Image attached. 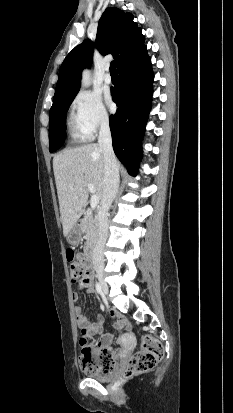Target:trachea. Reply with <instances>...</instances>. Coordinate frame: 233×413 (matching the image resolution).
<instances>
[{
	"instance_id": "trachea-1",
	"label": "trachea",
	"mask_w": 233,
	"mask_h": 413,
	"mask_svg": "<svg viewBox=\"0 0 233 413\" xmlns=\"http://www.w3.org/2000/svg\"><path fill=\"white\" fill-rule=\"evenodd\" d=\"M110 73H111V74H116L115 61H112L111 64H110Z\"/></svg>"
}]
</instances>
